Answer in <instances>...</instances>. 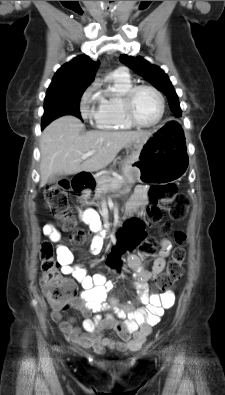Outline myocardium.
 I'll list each match as a JSON object with an SVG mask.
<instances>
[{
	"label": "myocardium",
	"mask_w": 225,
	"mask_h": 395,
	"mask_svg": "<svg viewBox=\"0 0 225 395\" xmlns=\"http://www.w3.org/2000/svg\"><path fill=\"white\" fill-rule=\"evenodd\" d=\"M149 90L152 93H154L159 101V105H160V113L159 116L157 118V120L153 123L150 124H145L140 122L135 114H134V110H133V103H134V99L136 94L140 91V90ZM122 110H123V114L125 119L133 126L135 127H140V128H152L157 126L163 119L164 114H165V100L164 97L162 95V93L155 88L154 86L148 85V84H138V85H133L132 87H130L123 95L122 98Z\"/></svg>",
	"instance_id": "obj_1"
}]
</instances>
